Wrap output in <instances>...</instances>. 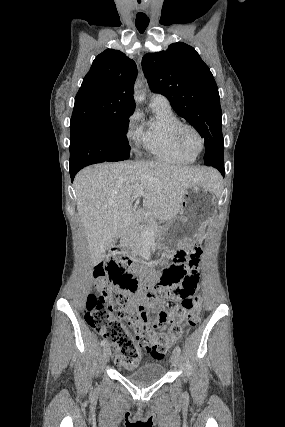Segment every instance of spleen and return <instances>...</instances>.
Segmentation results:
<instances>
[{"instance_id":"obj_1","label":"spleen","mask_w":285,"mask_h":427,"mask_svg":"<svg viewBox=\"0 0 285 427\" xmlns=\"http://www.w3.org/2000/svg\"><path fill=\"white\" fill-rule=\"evenodd\" d=\"M217 191H220V184L217 185Z\"/></svg>"}]
</instances>
